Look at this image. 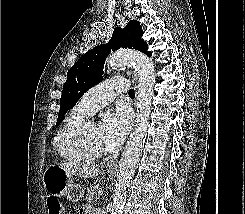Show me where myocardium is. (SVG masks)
Returning a JSON list of instances; mask_svg holds the SVG:
<instances>
[{"instance_id": "obj_1", "label": "myocardium", "mask_w": 245, "mask_h": 214, "mask_svg": "<svg viewBox=\"0 0 245 214\" xmlns=\"http://www.w3.org/2000/svg\"><path fill=\"white\" fill-rule=\"evenodd\" d=\"M91 121L85 120L76 129L73 136V146L77 154L87 161L98 160L104 156V153H94L90 151L86 144V130Z\"/></svg>"}]
</instances>
